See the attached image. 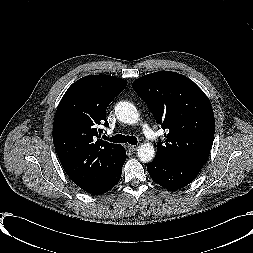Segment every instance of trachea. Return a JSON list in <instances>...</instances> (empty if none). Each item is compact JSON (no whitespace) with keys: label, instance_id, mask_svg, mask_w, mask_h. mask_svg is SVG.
<instances>
[{"label":"trachea","instance_id":"trachea-1","mask_svg":"<svg viewBox=\"0 0 253 253\" xmlns=\"http://www.w3.org/2000/svg\"><path fill=\"white\" fill-rule=\"evenodd\" d=\"M104 139H107V137H104ZM108 140L114 143H129L132 145H137V138L135 136L117 134L110 139L108 138Z\"/></svg>","mask_w":253,"mask_h":253}]
</instances>
